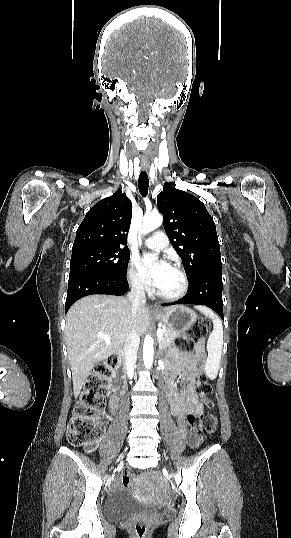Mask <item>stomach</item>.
<instances>
[{"label": "stomach", "mask_w": 291, "mask_h": 538, "mask_svg": "<svg viewBox=\"0 0 291 538\" xmlns=\"http://www.w3.org/2000/svg\"><path fill=\"white\" fill-rule=\"evenodd\" d=\"M156 317L167 329L177 333L188 330L197 319L194 311L183 306L173 307L168 311L157 314Z\"/></svg>", "instance_id": "1"}]
</instances>
